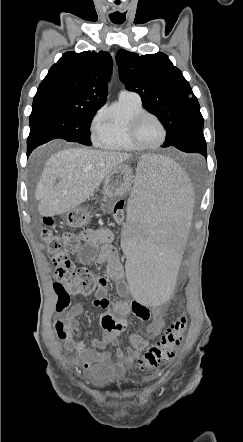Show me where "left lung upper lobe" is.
<instances>
[{
	"label": "left lung upper lobe",
	"mask_w": 243,
	"mask_h": 442,
	"mask_svg": "<svg viewBox=\"0 0 243 442\" xmlns=\"http://www.w3.org/2000/svg\"><path fill=\"white\" fill-rule=\"evenodd\" d=\"M116 60L126 88L138 93L143 107L155 114L165 127L166 140L162 147L173 146L192 132L203 129L198 100L166 54L139 56L121 49Z\"/></svg>",
	"instance_id": "1"
}]
</instances>
